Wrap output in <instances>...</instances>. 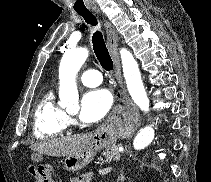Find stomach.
<instances>
[{
  "mask_svg": "<svg viewBox=\"0 0 211 182\" xmlns=\"http://www.w3.org/2000/svg\"><path fill=\"white\" fill-rule=\"evenodd\" d=\"M118 136V132L113 128L97 131L85 149L65 158V169L72 172L83 169L91 162L99 150L112 147L116 143ZM41 159L42 155L39 153L32 155V160L35 162H39Z\"/></svg>",
  "mask_w": 211,
  "mask_h": 182,
  "instance_id": "stomach-1",
  "label": "stomach"
}]
</instances>
